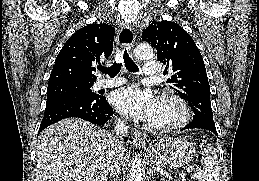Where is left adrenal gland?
Segmentation results:
<instances>
[{"mask_svg":"<svg viewBox=\"0 0 259 181\" xmlns=\"http://www.w3.org/2000/svg\"><path fill=\"white\" fill-rule=\"evenodd\" d=\"M150 180H151V181H154V177H151Z\"/></svg>","mask_w":259,"mask_h":181,"instance_id":"obj_1","label":"left adrenal gland"}]
</instances>
